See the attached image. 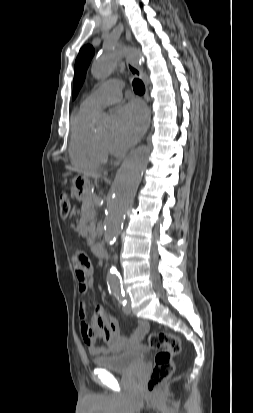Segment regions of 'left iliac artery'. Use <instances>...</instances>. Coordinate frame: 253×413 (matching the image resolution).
I'll use <instances>...</instances> for the list:
<instances>
[{
	"label": "left iliac artery",
	"mask_w": 253,
	"mask_h": 413,
	"mask_svg": "<svg viewBox=\"0 0 253 413\" xmlns=\"http://www.w3.org/2000/svg\"><path fill=\"white\" fill-rule=\"evenodd\" d=\"M113 295L116 297V299L118 300L119 303H121L123 306L126 305L127 301L124 298L125 297V293L123 290H117L113 292Z\"/></svg>",
	"instance_id": "left-iliac-artery-1"
}]
</instances>
